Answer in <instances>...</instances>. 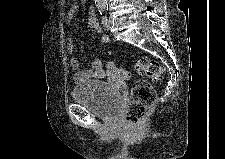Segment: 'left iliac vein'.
Wrapping results in <instances>:
<instances>
[{
  "mask_svg": "<svg viewBox=\"0 0 225 159\" xmlns=\"http://www.w3.org/2000/svg\"><path fill=\"white\" fill-rule=\"evenodd\" d=\"M111 26H112V18L110 17V18L108 19V24H107L106 28H107V29H110Z\"/></svg>",
  "mask_w": 225,
  "mask_h": 159,
  "instance_id": "1",
  "label": "left iliac vein"
}]
</instances>
